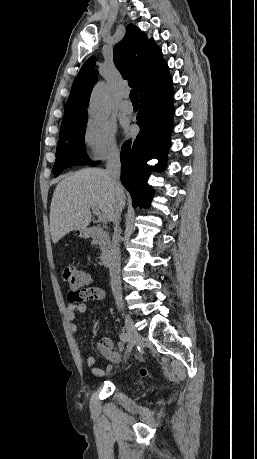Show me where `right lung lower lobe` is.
I'll list each match as a JSON object with an SVG mask.
<instances>
[{
	"instance_id": "obj_1",
	"label": "right lung lower lobe",
	"mask_w": 257,
	"mask_h": 459,
	"mask_svg": "<svg viewBox=\"0 0 257 459\" xmlns=\"http://www.w3.org/2000/svg\"><path fill=\"white\" fill-rule=\"evenodd\" d=\"M173 115L172 78L168 74L140 94L137 124L141 130L134 141H126L121 149V182L130 192L133 207L150 206L152 190L147 184L150 168L146 162L157 158L156 168L164 167Z\"/></svg>"
}]
</instances>
